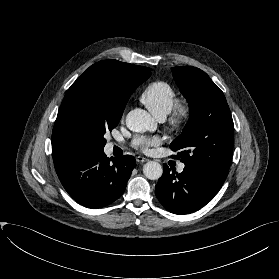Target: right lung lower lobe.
I'll return each instance as SVG.
<instances>
[{"label": "right lung lower lobe", "instance_id": "right-lung-lower-lobe-1", "mask_svg": "<svg viewBox=\"0 0 279 279\" xmlns=\"http://www.w3.org/2000/svg\"><path fill=\"white\" fill-rule=\"evenodd\" d=\"M130 155L106 157L104 151L55 164L57 175L69 195L88 208H102L124 192L135 167Z\"/></svg>", "mask_w": 279, "mask_h": 279}]
</instances>
